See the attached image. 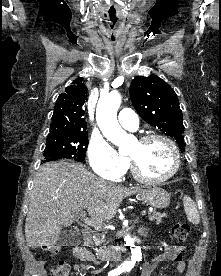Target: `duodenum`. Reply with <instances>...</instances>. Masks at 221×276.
<instances>
[{"label": "duodenum", "instance_id": "obj_1", "mask_svg": "<svg viewBox=\"0 0 221 276\" xmlns=\"http://www.w3.org/2000/svg\"><path fill=\"white\" fill-rule=\"evenodd\" d=\"M91 232L87 229L82 231V246L78 248H85V246H88L91 242ZM97 255L100 260H107L110 257V252L108 249H98Z\"/></svg>", "mask_w": 221, "mask_h": 276}]
</instances>
